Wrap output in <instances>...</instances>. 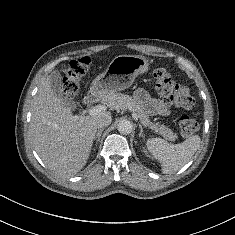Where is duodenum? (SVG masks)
<instances>
[{
	"label": "duodenum",
	"mask_w": 235,
	"mask_h": 235,
	"mask_svg": "<svg viewBox=\"0 0 235 235\" xmlns=\"http://www.w3.org/2000/svg\"><path fill=\"white\" fill-rule=\"evenodd\" d=\"M98 99V94L95 91H90L83 100V103L85 105H92L94 104Z\"/></svg>",
	"instance_id": "duodenum-1"
}]
</instances>
